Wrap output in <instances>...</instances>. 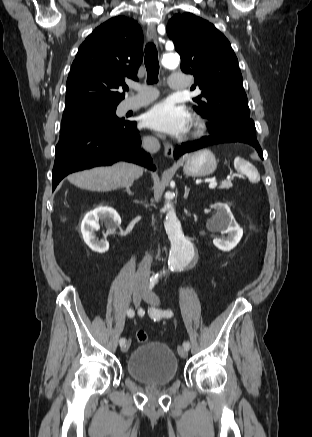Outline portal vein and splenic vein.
<instances>
[{"label": "portal vein and splenic vein", "mask_w": 312, "mask_h": 437, "mask_svg": "<svg viewBox=\"0 0 312 437\" xmlns=\"http://www.w3.org/2000/svg\"><path fill=\"white\" fill-rule=\"evenodd\" d=\"M216 186H217V182L216 181L211 182L210 185H209L210 188H215Z\"/></svg>", "instance_id": "portal-vein-and-splenic-vein-1"}]
</instances>
